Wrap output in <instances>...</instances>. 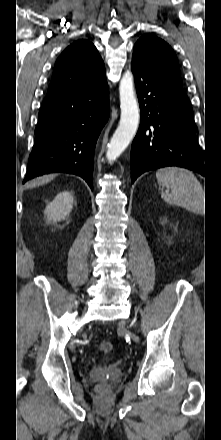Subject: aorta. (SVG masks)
<instances>
[{"label":"aorta","mask_w":221,"mask_h":440,"mask_svg":"<svg viewBox=\"0 0 221 440\" xmlns=\"http://www.w3.org/2000/svg\"><path fill=\"white\" fill-rule=\"evenodd\" d=\"M121 118L106 152L109 162L116 160L135 136L139 125V106L134 92V79L130 71L123 74L119 85Z\"/></svg>","instance_id":"obj_1"}]
</instances>
